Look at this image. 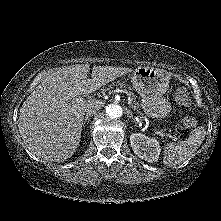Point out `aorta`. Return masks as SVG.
<instances>
[{
  "instance_id": "762f6f07",
  "label": "aorta",
  "mask_w": 221,
  "mask_h": 221,
  "mask_svg": "<svg viewBox=\"0 0 221 221\" xmlns=\"http://www.w3.org/2000/svg\"><path fill=\"white\" fill-rule=\"evenodd\" d=\"M106 114L111 119H117L122 116L123 110L118 104H109L106 108Z\"/></svg>"
}]
</instances>
